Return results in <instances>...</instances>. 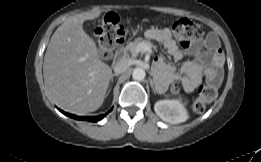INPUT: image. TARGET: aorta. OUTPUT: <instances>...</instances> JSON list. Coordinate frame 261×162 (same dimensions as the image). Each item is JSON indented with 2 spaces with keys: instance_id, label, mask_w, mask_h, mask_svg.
<instances>
[{
  "instance_id": "1",
  "label": "aorta",
  "mask_w": 261,
  "mask_h": 162,
  "mask_svg": "<svg viewBox=\"0 0 261 162\" xmlns=\"http://www.w3.org/2000/svg\"><path fill=\"white\" fill-rule=\"evenodd\" d=\"M146 73L143 68H135L132 73V77L135 80L141 81L145 78Z\"/></svg>"
}]
</instances>
